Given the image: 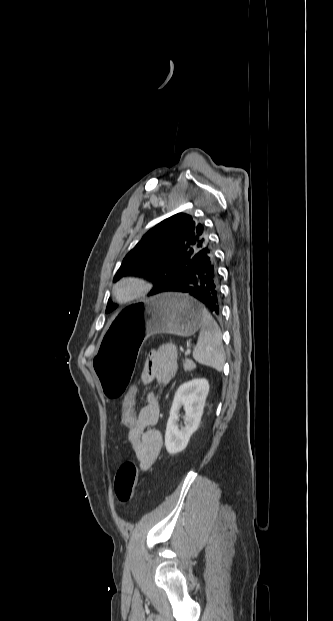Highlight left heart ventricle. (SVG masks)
<instances>
[{
  "label": "left heart ventricle",
  "mask_w": 333,
  "mask_h": 621,
  "mask_svg": "<svg viewBox=\"0 0 333 621\" xmlns=\"http://www.w3.org/2000/svg\"><path fill=\"white\" fill-rule=\"evenodd\" d=\"M135 290V287L132 285H125L121 288L120 294L121 296H127L131 294Z\"/></svg>",
  "instance_id": "b2bd125f"
}]
</instances>
